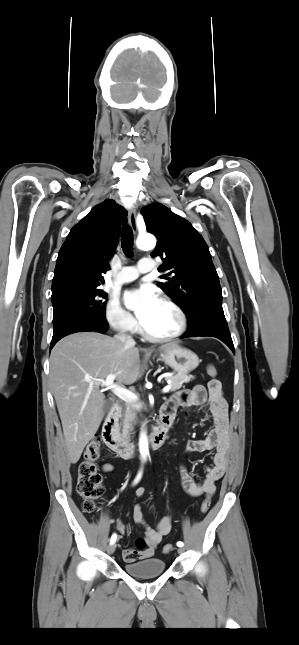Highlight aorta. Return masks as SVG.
Segmentation results:
<instances>
[{
	"label": "aorta",
	"instance_id": "aorta-1",
	"mask_svg": "<svg viewBox=\"0 0 299 645\" xmlns=\"http://www.w3.org/2000/svg\"><path fill=\"white\" fill-rule=\"evenodd\" d=\"M156 245V239L150 234L141 235L137 238V247L141 250H151ZM136 304H133L135 307ZM139 451L142 459H146L148 455V439L145 432L140 434L139 438Z\"/></svg>",
	"mask_w": 299,
	"mask_h": 645
}]
</instances>
